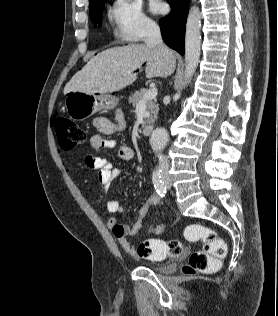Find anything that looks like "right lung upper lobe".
Listing matches in <instances>:
<instances>
[{
	"label": "right lung upper lobe",
	"instance_id": "cb5924a9",
	"mask_svg": "<svg viewBox=\"0 0 278 316\" xmlns=\"http://www.w3.org/2000/svg\"><path fill=\"white\" fill-rule=\"evenodd\" d=\"M105 0H90V9Z\"/></svg>",
	"mask_w": 278,
	"mask_h": 316
}]
</instances>
